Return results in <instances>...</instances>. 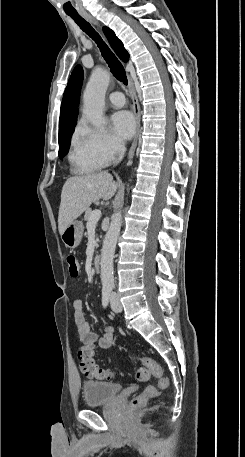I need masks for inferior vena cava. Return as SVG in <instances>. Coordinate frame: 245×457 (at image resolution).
Segmentation results:
<instances>
[{
  "label": "inferior vena cava",
  "instance_id": "1",
  "mask_svg": "<svg viewBox=\"0 0 245 457\" xmlns=\"http://www.w3.org/2000/svg\"><path fill=\"white\" fill-rule=\"evenodd\" d=\"M116 148L119 152V158L117 160V162H119V160H121V158H123V154H125V150H126V146H125L123 140H121V138H117Z\"/></svg>",
  "mask_w": 245,
  "mask_h": 457
}]
</instances>
